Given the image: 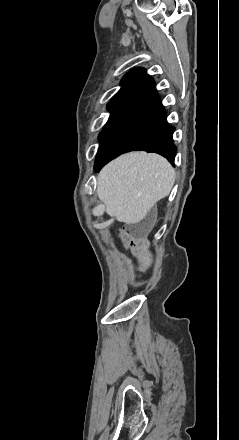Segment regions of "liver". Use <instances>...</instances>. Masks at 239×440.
Wrapping results in <instances>:
<instances>
[{
  "label": "liver",
  "mask_w": 239,
  "mask_h": 440,
  "mask_svg": "<svg viewBox=\"0 0 239 440\" xmlns=\"http://www.w3.org/2000/svg\"><path fill=\"white\" fill-rule=\"evenodd\" d=\"M174 182L175 170L165 158L130 152L101 170L97 196L108 216L124 224H138L156 202L169 196Z\"/></svg>",
  "instance_id": "1"
}]
</instances>
